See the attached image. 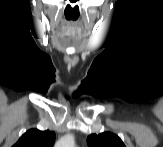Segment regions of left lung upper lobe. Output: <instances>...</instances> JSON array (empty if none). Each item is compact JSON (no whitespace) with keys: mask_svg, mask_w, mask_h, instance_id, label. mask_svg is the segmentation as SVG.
I'll list each match as a JSON object with an SVG mask.
<instances>
[{"mask_svg":"<svg viewBox=\"0 0 163 147\" xmlns=\"http://www.w3.org/2000/svg\"><path fill=\"white\" fill-rule=\"evenodd\" d=\"M87 143L89 147H125L122 140L111 132L99 135L91 134L87 139Z\"/></svg>","mask_w":163,"mask_h":147,"instance_id":"obj_1","label":"left lung upper lobe"}]
</instances>
